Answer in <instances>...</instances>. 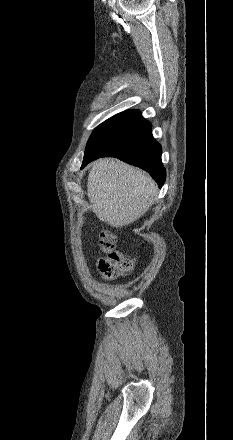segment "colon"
<instances>
[{
	"label": "colon",
	"instance_id": "1",
	"mask_svg": "<svg viewBox=\"0 0 233 440\" xmlns=\"http://www.w3.org/2000/svg\"><path fill=\"white\" fill-rule=\"evenodd\" d=\"M116 236L108 229H103L99 236V246L103 256L99 258L97 268L108 279L129 273L133 268L131 259L117 250Z\"/></svg>",
	"mask_w": 233,
	"mask_h": 440
}]
</instances>
